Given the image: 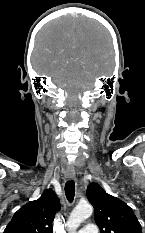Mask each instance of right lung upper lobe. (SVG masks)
<instances>
[{"label":"right lung upper lobe","mask_w":145,"mask_h":233,"mask_svg":"<svg viewBox=\"0 0 145 233\" xmlns=\"http://www.w3.org/2000/svg\"><path fill=\"white\" fill-rule=\"evenodd\" d=\"M59 208L55 193L46 190L38 200L28 202L15 212L4 233H53L52 223Z\"/></svg>","instance_id":"obj_1"}]
</instances>
